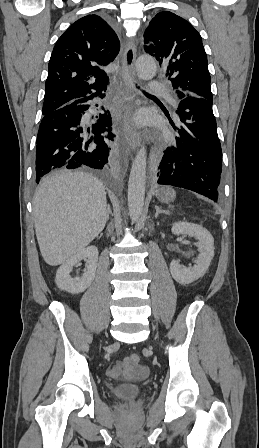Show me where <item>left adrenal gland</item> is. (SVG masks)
<instances>
[{
    "label": "left adrenal gland",
    "instance_id": "1",
    "mask_svg": "<svg viewBox=\"0 0 259 448\" xmlns=\"http://www.w3.org/2000/svg\"><path fill=\"white\" fill-rule=\"evenodd\" d=\"M155 210H156L155 218H157V216H159V214H167V216H169V214H170L169 210H161V208H159V206H155Z\"/></svg>",
    "mask_w": 259,
    "mask_h": 448
}]
</instances>
